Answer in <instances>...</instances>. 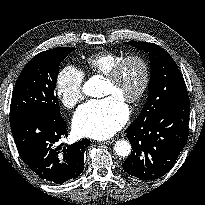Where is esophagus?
<instances>
[{
  "instance_id": "obj_1",
  "label": "esophagus",
  "mask_w": 205,
  "mask_h": 205,
  "mask_svg": "<svg viewBox=\"0 0 205 205\" xmlns=\"http://www.w3.org/2000/svg\"><path fill=\"white\" fill-rule=\"evenodd\" d=\"M114 141H115L114 139H110V140L103 141L102 143L109 145L112 144Z\"/></svg>"
}]
</instances>
